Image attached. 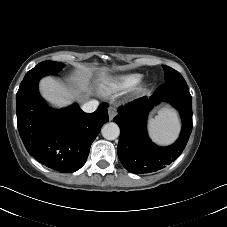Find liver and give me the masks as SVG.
<instances>
[{"instance_id": "6515ba94", "label": "liver", "mask_w": 227, "mask_h": 227, "mask_svg": "<svg viewBox=\"0 0 227 227\" xmlns=\"http://www.w3.org/2000/svg\"><path fill=\"white\" fill-rule=\"evenodd\" d=\"M95 70H98L101 80H105L110 71L108 67L83 68V71H78L73 77L74 88L68 87L51 77H46L40 82L41 94L48 102L57 107L66 106L75 98L81 100L83 92L91 93L89 81L92 77V71Z\"/></svg>"}]
</instances>
